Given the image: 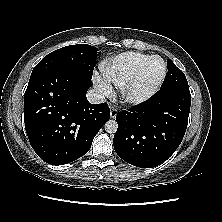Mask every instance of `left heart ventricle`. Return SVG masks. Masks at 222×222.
I'll list each match as a JSON object with an SVG mask.
<instances>
[{
	"label": "left heart ventricle",
	"mask_w": 222,
	"mask_h": 222,
	"mask_svg": "<svg viewBox=\"0 0 222 222\" xmlns=\"http://www.w3.org/2000/svg\"><path fill=\"white\" fill-rule=\"evenodd\" d=\"M163 73V63L160 59L152 60L147 66L140 82L136 87L137 93L149 90L161 77Z\"/></svg>",
	"instance_id": "1"
}]
</instances>
